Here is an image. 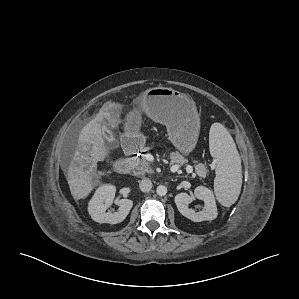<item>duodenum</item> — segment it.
<instances>
[{"label": "duodenum", "mask_w": 299, "mask_h": 299, "mask_svg": "<svg viewBox=\"0 0 299 299\" xmlns=\"http://www.w3.org/2000/svg\"><path fill=\"white\" fill-rule=\"evenodd\" d=\"M124 150L126 153V157L119 160L115 164V170L119 174H126L129 169V159L134 156L137 152V146L135 139L132 137L125 138L123 142Z\"/></svg>", "instance_id": "1"}]
</instances>
